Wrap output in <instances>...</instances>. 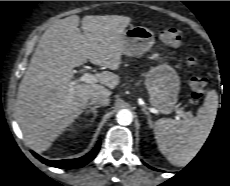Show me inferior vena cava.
<instances>
[{"mask_svg": "<svg viewBox=\"0 0 230 186\" xmlns=\"http://www.w3.org/2000/svg\"><path fill=\"white\" fill-rule=\"evenodd\" d=\"M90 103L98 106H107L110 103V98L106 94L94 93L90 97Z\"/></svg>", "mask_w": 230, "mask_h": 186, "instance_id": "602c4592", "label": "inferior vena cava"}]
</instances>
